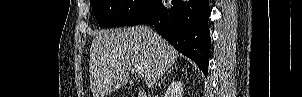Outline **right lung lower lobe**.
I'll return each instance as SVG.
<instances>
[{
    "mask_svg": "<svg viewBox=\"0 0 302 97\" xmlns=\"http://www.w3.org/2000/svg\"><path fill=\"white\" fill-rule=\"evenodd\" d=\"M209 16V0H148L126 26L142 23L153 25L207 76L210 52Z\"/></svg>",
    "mask_w": 302,
    "mask_h": 97,
    "instance_id": "98d812e1",
    "label": "right lung lower lobe"
}]
</instances>
